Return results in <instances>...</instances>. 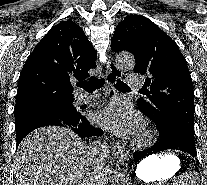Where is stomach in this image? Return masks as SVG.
I'll use <instances>...</instances> for the list:
<instances>
[{
    "instance_id": "obj_1",
    "label": "stomach",
    "mask_w": 207,
    "mask_h": 185,
    "mask_svg": "<svg viewBox=\"0 0 207 185\" xmlns=\"http://www.w3.org/2000/svg\"><path fill=\"white\" fill-rule=\"evenodd\" d=\"M180 169V160L173 154L152 155L142 160L136 168V176L144 182L163 181Z\"/></svg>"
}]
</instances>
